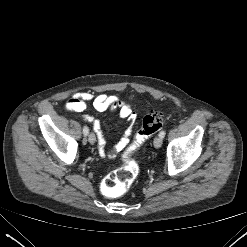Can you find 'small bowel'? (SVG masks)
Listing matches in <instances>:
<instances>
[{
  "mask_svg": "<svg viewBox=\"0 0 247 247\" xmlns=\"http://www.w3.org/2000/svg\"><path fill=\"white\" fill-rule=\"evenodd\" d=\"M91 104L95 110L98 112H115L117 111L120 118L127 120V122H132L134 120V115L130 106L122 102L115 95L108 94H98L95 95L92 92H78L75 93L66 103L65 108L70 111L82 112L87 109L88 105ZM83 120L92 124L93 129L98 138V151L102 157H114L115 154L122 150L128 143L129 136L131 134L130 130H127L121 140L116 144L112 151L106 149L107 138L104 135L101 123L98 119L92 115H83Z\"/></svg>",
  "mask_w": 247,
  "mask_h": 247,
  "instance_id": "c3829d8e",
  "label": "small bowel"
}]
</instances>
